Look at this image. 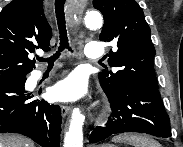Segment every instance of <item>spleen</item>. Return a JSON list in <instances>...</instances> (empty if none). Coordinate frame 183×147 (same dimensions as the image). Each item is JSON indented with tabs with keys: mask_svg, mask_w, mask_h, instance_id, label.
Wrapping results in <instances>:
<instances>
[{
	"mask_svg": "<svg viewBox=\"0 0 183 147\" xmlns=\"http://www.w3.org/2000/svg\"><path fill=\"white\" fill-rule=\"evenodd\" d=\"M113 142H124L134 147H161V145L154 139L147 135L139 134H123L112 138Z\"/></svg>",
	"mask_w": 183,
	"mask_h": 147,
	"instance_id": "1",
	"label": "spleen"
}]
</instances>
